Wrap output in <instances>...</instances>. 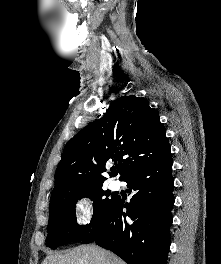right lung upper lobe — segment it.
<instances>
[{
	"mask_svg": "<svg viewBox=\"0 0 221 264\" xmlns=\"http://www.w3.org/2000/svg\"><path fill=\"white\" fill-rule=\"evenodd\" d=\"M170 153L164 125L148 102L134 95L113 101L105 115L77 133L64 147L56 171L50 207L63 197L97 188L107 179L111 163H118L123 180Z\"/></svg>",
	"mask_w": 221,
	"mask_h": 264,
	"instance_id": "right-lung-upper-lobe-1",
	"label": "right lung upper lobe"
}]
</instances>
